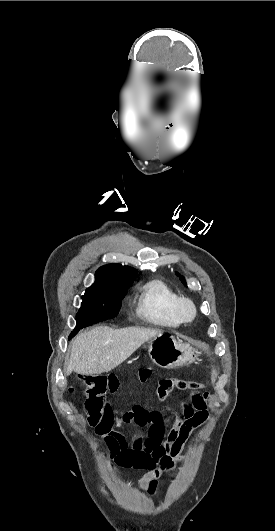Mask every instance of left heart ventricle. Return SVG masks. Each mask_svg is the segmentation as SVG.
Listing matches in <instances>:
<instances>
[{
	"mask_svg": "<svg viewBox=\"0 0 275 531\" xmlns=\"http://www.w3.org/2000/svg\"><path fill=\"white\" fill-rule=\"evenodd\" d=\"M182 312H183L184 315H186V316H190L192 311H191V308H190L189 305L184 304V305L182 306Z\"/></svg>",
	"mask_w": 275,
	"mask_h": 531,
	"instance_id": "b2bd125f",
	"label": "left heart ventricle"
}]
</instances>
